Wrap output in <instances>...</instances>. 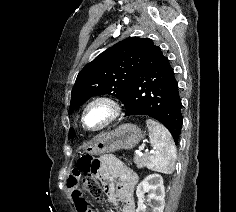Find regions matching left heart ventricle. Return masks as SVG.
<instances>
[{
    "label": "left heart ventricle",
    "mask_w": 236,
    "mask_h": 212,
    "mask_svg": "<svg viewBox=\"0 0 236 212\" xmlns=\"http://www.w3.org/2000/svg\"><path fill=\"white\" fill-rule=\"evenodd\" d=\"M107 117V109L102 105L92 107L85 116V123L89 127H97Z\"/></svg>",
    "instance_id": "left-heart-ventricle-1"
}]
</instances>
